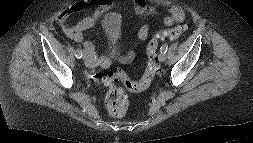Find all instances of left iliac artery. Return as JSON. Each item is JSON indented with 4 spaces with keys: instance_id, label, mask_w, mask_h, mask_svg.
<instances>
[{
    "instance_id": "left-iliac-artery-1",
    "label": "left iliac artery",
    "mask_w": 253,
    "mask_h": 143,
    "mask_svg": "<svg viewBox=\"0 0 253 143\" xmlns=\"http://www.w3.org/2000/svg\"><path fill=\"white\" fill-rule=\"evenodd\" d=\"M160 50H161V53H166L167 52V50H168V45L167 44H164L161 48H160Z\"/></svg>"
}]
</instances>
